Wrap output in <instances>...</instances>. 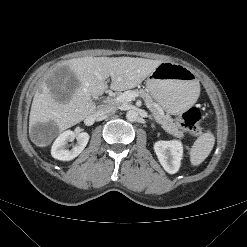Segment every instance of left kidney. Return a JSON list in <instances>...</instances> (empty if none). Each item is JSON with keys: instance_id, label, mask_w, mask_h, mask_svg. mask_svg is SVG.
<instances>
[{"instance_id": "left-kidney-1", "label": "left kidney", "mask_w": 247, "mask_h": 247, "mask_svg": "<svg viewBox=\"0 0 247 247\" xmlns=\"http://www.w3.org/2000/svg\"><path fill=\"white\" fill-rule=\"evenodd\" d=\"M154 151L166 172L174 174L179 170L183 157L181 141H158L154 144Z\"/></svg>"}]
</instances>
